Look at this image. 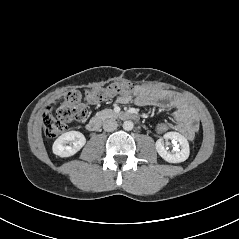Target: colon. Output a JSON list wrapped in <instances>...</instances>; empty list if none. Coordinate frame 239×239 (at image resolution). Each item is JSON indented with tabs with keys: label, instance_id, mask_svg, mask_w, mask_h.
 Here are the masks:
<instances>
[{
	"label": "colon",
	"instance_id": "1",
	"mask_svg": "<svg viewBox=\"0 0 239 239\" xmlns=\"http://www.w3.org/2000/svg\"><path fill=\"white\" fill-rule=\"evenodd\" d=\"M135 87L130 83H113L106 87L90 88L84 92H69L55 112L48 107L42 113V121L45 133L48 137H56L64 132L68 125L75 121H81L86 117L89 107L110 100L116 95H130ZM170 120H157L154 130L159 136H166L173 130Z\"/></svg>",
	"mask_w": 239,
	"mask_h": 239
}]
</instances>
